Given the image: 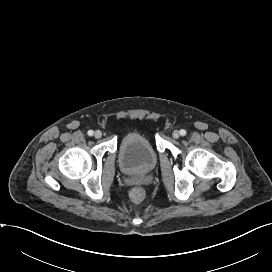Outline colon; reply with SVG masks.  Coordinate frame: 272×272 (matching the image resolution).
I'll use <instances>...</instances> for the list:
<instances>
[{"instance_id": "obj_1", "label": "colon", "mask_w": 272, "mask_h": 272, "mask_svg": "<svg viewBox=\"0 0 272 272\" xmlns=\"http://www.w3.org/2000/svg\"><path fill=\"white\" fill-rule=\"evenodd\" d=\"M131 199L136 202L140 203L144 200L145 198V192L141 188H134L131 193H130Z\"/></svg>"}]
</instances>
